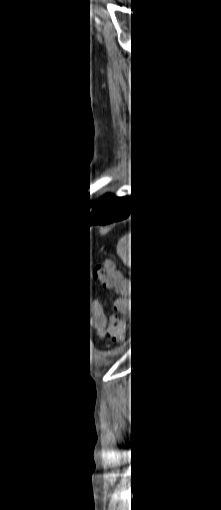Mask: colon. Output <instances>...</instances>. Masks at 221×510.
<instances>
[{
    "instance_id": "5ec220e1",
    "label": "colon",
    "mask_w": 221,
    "mask_h": 510,
    "mask_svg": "<svg viewBox=\"0 0 221 510\" xmlns=\"http://www.w3.org/2000/svg\"><path fill=\"white\" fill-rule=\"evenodd\" d=\"M93 282L102 288H117L120 284L119 275L106 263L94 265L92 270ZM128 327L120 320L115 318L110 326V338L115 343H122L128 336Z\"/></svg>"
}]
</instances>
